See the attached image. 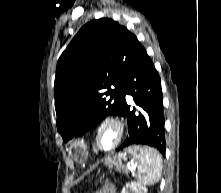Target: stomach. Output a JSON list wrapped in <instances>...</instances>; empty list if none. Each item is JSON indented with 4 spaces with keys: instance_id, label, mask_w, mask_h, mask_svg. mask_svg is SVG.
<instances>
[{
    "instance_id": "stomach-1",
    "label": "stomach",
    "mask_w": 221,
    "mask_h": 193,
    "mask_svg": "<svg viewBox=\"0 0 221 193\" xmlns=\"http://www.w3.org/2000/svg\"><path fill=\"white\" fill-rule=\"evenodd\" d=\"M83 142H72V147L70 150H67V155H73L74 159H80L79 163L82 167L86 166V163L83 159H87L89 155V150H82Z\"/></svg>"
}]
</instances>
